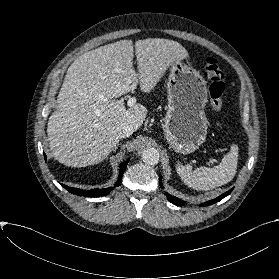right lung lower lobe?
<instances>
[{"label":"right lung lower lobe","mask_w":279,"mask_h":279,"mask_svg":"<svg viewBox=\"0 0 279 279\" xmlns=\"http://www.w3.org/2000/svg\"><path fill=\"white\" fill-rule=\"evenodd\" d=\"M44 158L46 159V155L44 154ZM128 160H126L125 162L121 163L120 165V173H119V179L116 182L115 186H119L122 176L125 172L126 166L128 164ZM66 190H68L70 193L72 194H76V195H81V196H86V197H99V196H105L108 195L112 190L113 187H109V188H104V189H93L90 191H84V190H80L77 188H72L69 187L67 185L61 184Z\"/></svg>","instance_id":"98d812e1"}]
</instances>
